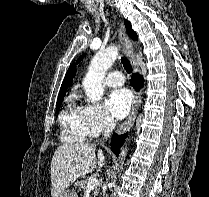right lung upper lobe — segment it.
<instances>
[{
  "label": "right lung upper lobe",
  "mask_w": 209,
  "mask_h": 197,
  "mask_svg": "<svg viewBox=\"0 0 209 197\" xmlns=\"http://www.w3.org/2000/svg\"><path fill=\"white\" fill-rule=\"evenodd\" d=\"M75 73H76V68L74 67V65H72L66 73V76H65L64 81L61 85L60 92H59L57 100H60V99L64 98V96L66 94V91H67V88L71 85L72 78L75 76Z\"/></svg>",
  "instance_id": "obj_1"
}]
</instances>
